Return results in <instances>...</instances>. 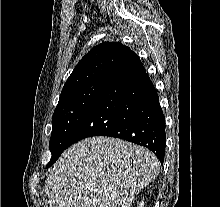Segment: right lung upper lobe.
<instances>
[{
    "label": "right lung upper lobe",
    "mask_w": 220,
    "mask_h": 207,
    "mask_svg": "<svg viewBox=\"0 0 220 207\" xmlns=\"http://www.w3.org/2000/svg\"><path fill=\"white\" fill-rule=\"evenodd\" d=\"M140 61L137 54L119 42H103L93 47L76 65L61 94L95 80L107 79Z\"/></svg>",
    "instance_id": "obj_1"
}]
</instances>
